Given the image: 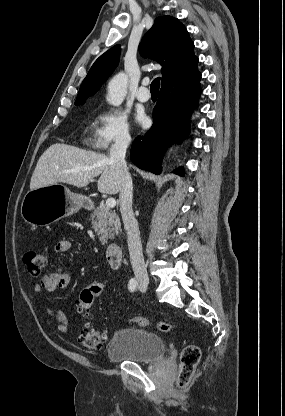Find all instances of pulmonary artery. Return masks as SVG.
Listing matches in <instances>:
<instances>
[{
	"label": "pulmonary artery",
	"instance_id": "pulmonary-artery-1",
	"mask_svg": "<svg viewBox=\"0 0 285 416\" xmlns=\"http://www.w3.org/2000/svg\"><path fill=\"white\" fill-rule=\"evenodd\" d=\"M149 81L145 79L142 85L137 89L136 97L139 101L145 102L150 99L149 90L147 88Z\"/></svg>",
	"mask_w": 285,
	"mask_h": 416
}]
</instances>
